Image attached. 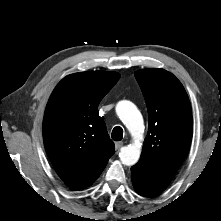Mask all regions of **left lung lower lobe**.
I'll return each mask as SVG.
<instances>
[{
	"mask_svg": "<svg viewBox=\"0 0 221 221\" xmlns=\"http://www.w3.org/2000/svg\"><path fill=\"white\" fill-rule=\"evenodd\" d=\"M131 179L137 193L151 197L160 194L170 183V179L162 176L142 163L131 167Z\"/></svg>",
	"mask_w": 221,
	"mask_h": 221,
	"instance_id": "obj_1",
	"label": "left lung lower lobe"
}]
</instances>
